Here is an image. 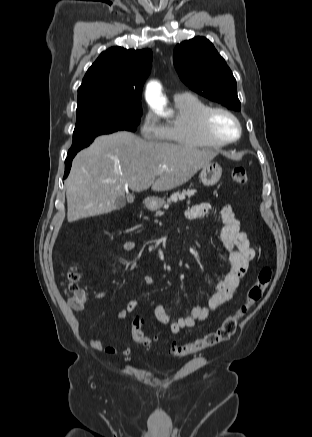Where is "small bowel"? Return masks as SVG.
Here are the masks:
<instances>
[{
    "mask_svg": "<svg viewBox=\"0 0 312 437\" xmlns=\"http://www.w3.org/2000/svg\"><path fill=\"white\" fill-rule=\"evenodd\" d=\"M209 210V203L195 204L186 211V216L191 220L198 219L205 216ZM220 214L223 222L220 240L228 253L230 268L223 279L216 284L208 304L206 306H194L191 312L184 317L171 322L165 308L161 304L154 305L157 320L162 324L170 323V329L173 334H177L185 328L194 327L197 321L206 320L212 311L224 307L236 294L241 279L248 271L250 262L256 257V250L251 245L247 233L241 230L240 221L236 216L233 206L231 204L223 205ZM123 247L125 251H132L135 249V243L126 241ZM153 283L154 279L150 275H144L140 280V284L145 286H150ZM139 309L140 303L136 300H130L119 310L118 317L126 320L129 313ZM90 345L96 350L111 355L121 354L126 356L130 353L128 347L118 349L98 339H91Z\"/></svg>",
    "mask_w": 312,
    "mask_h": 437,
    "instance_id": "obj_1",
    "label": "small bowel"
}]
</instances>
